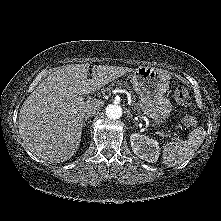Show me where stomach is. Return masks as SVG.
Masks as SVG:
<instances>
[{"mask_svg":"<svg viewBox=\"0 0 221 221\" xmlns=\"http://www.w3.org/2000/svg\"><path fill=\"white\" fill-rule=\"evenodd\" d=\"M131 83L139 95V107L156 125L166 120L172 104L165 95L169 89L170 75L165 70L139 66L132 73Z\"/></svg>","mask_w":221,"mask_h":221,"instance_id":"0dacf381","label":"stomach"}]
</instances>
